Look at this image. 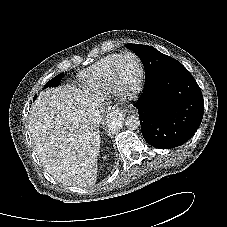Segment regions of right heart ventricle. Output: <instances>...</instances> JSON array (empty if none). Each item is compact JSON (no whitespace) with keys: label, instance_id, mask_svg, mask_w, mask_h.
I'll return each instance as SVG.
<instances>
[{"label":"right heart ventricle","instance_id":"e07e8e85","mask_svg":"<svg viewBox=\"0 0 227 227\" xmlns=\"http://www.w3.org/2000/svg\"><path fill=\"white\" fill-rule=\"evenodd\" d=\"M119 54L108 55L96 62L83 76L84 84L89 88H112L110 69Z\"/></svg>","mask_w":227,"mask_h":227}]
</instances>
